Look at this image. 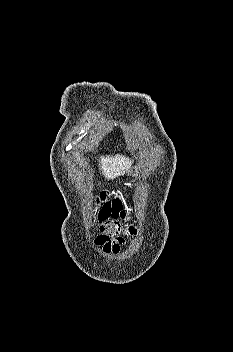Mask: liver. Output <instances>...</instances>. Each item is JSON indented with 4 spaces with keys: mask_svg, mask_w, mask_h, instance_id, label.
Instances as JSON below:
<instances>
[{
    "mask_svg": "<svg viewBox=\"0 0 233 352\" xmlns=\"http://www.w3.org/2000/svg\"><path fill=\"white\" fill-rule=\"evenodd\" d=\"M132 161L123 155H115V157L106 156L100 158V166L102 174L106 179H115L125 174L131 167Z\"/></svg>",
    "mask_w": 233,
    "mask_h": 352,
    "instance_id": "obj_1",
    "label": "liver"
}]
</instances>
